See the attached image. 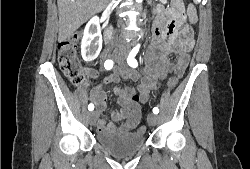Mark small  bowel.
Segmentation results:
<instances>
[{"mask_svg": "<svg viewBox=\"0 0 250 169\" xmlns=\"http://www.w3.org/2000/svg\"><path fill=\"white\" fill-rule=\"evenodd\" d=\"M188 18L191 23H195L197 20L195 13L189 14ZM182 24V16L178 12H174L170 17L169 28H167L168 24L163 23L155 28L150 53L146 57L142 69L143 76L133 70L125 69L115 71L101 79L96 70H87V74L97 81L91 99L99 115L97 131L100 135L131 132L141 119L140 103H146L151 92L158 87L160 82L167 77H171V72H180V77L183 75L189 62L190 52L193 49V37L189 29H186L183 35H177ZM166 37H173L172 43H166ZM174 53L177 58L175 62H172L170 56ZM122 78L138 82L137 91L141 94V97L137 101L132 98L134 90L120 85ZM109 83L116 85L114 91L121 108L119 111L112 112L113 122L107 124L103 115L107 103V94L104 87ZM118 121L124 122L118 125Z\"/></svg>", "mask_w": 250, "mask_h": 169, "instance_id": "c3829d8e", "label": "small bowel"}]
</instances>
